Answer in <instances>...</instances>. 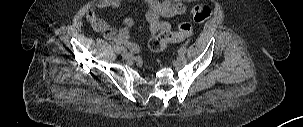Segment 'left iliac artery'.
I'll return each instance as SVG.
<instances>
[{"mask_svg":"<svg viewBox=\"0 0 303 127\" xmlns=\"http://www.w3.org/2000/svg\"><path fill=\"white\" fill-rule=\"evenodd\" d=\"M186 51H187L186 47L183 46L179 49V54H185Z\"/></svg>","mask_w":303,"mask_h":127,"instance_id":"obj_1","label":"left iliac artery"}]
</instances>
